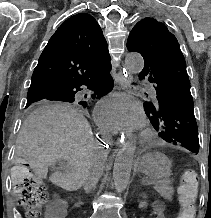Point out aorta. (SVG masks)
Returning <instances> with one entry per match:
<instances>
[{"label":"aorta","mask_w":211,"mask_h":218,"mask_svg":"<svg viewBox=\"0 0 211 218\" xmlns=\"http://www.w3.org/2000/svg\"><path fill=\"white\" fill-rule=\"evenodd\" d=\"M125 65L131 73L139 74L144 68V60L138 53H129L125 58ZM136 151V140L130 138L125 141L114 161L113 180L118 192H122L129 184L131 170Z\"/></svg>","instance_id":"aorta-1"}]
</instances>
